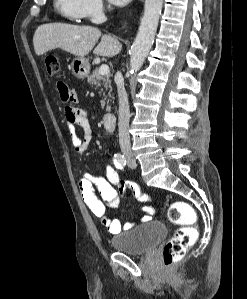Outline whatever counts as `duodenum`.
<instances>
[{
	"label": "duodenum",
	"instance_id": "duodenum-1",
	"mask_svg": "<svg viewBox=\"0 0 247 299\" xmlns=\"http://www.w3.org/2000/svg\"><path fill=\"white\" fill-rule=\"evenodd\" d=\"M102 123L104 128L109 131L112 132L115 130L116 128V116L113 113H106L103 115L102 117Z\"/></svg>",
	"mask_w": 247,
	"mask_h": 299
}]
</instances>
